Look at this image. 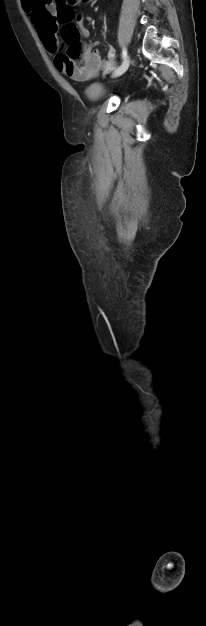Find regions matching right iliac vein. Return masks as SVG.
<instances>
[{
  "label": "right iliac vein",
  "mask_w": 206,
  "mask_h": 626,
  "mask_svg": "<svg viewBox=\"0 0 206 626\" xmlns=\"http://www.w3.org/2000/svg\"><path fill=\"white\" fill-rule=\"evenodd\" d=\"M129 65H130V59L127 58L125 59L124 63L113 72L112 77H119L122 74H124L127 71Z\"/></svg>",
  "instance_id": "right-iliac-vein-1"
}]
</instances>
